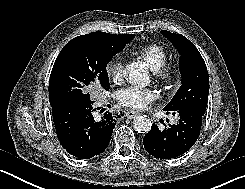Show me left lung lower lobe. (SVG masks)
<instances>
[{
    "label": "left lung lower lobe",
    "instance_id": "1",
    "mask_svg": "<svg viewBox=\"0 0 245 189\" xmlns=\"http://www.w3.org/2000/svg\"><path fill=\"white\" fill-rule=\"evenodd\" d=\"M172 111L173 115H179L176 124L159 129L153 124L151 130L143 139L144 148L152 156L160 159H170L187 152L200 135L202 117L204 113L195 108H183Z\"/></svg>",
    "mask_w": 245,
    "mask_h": 189
}]
</instances>
